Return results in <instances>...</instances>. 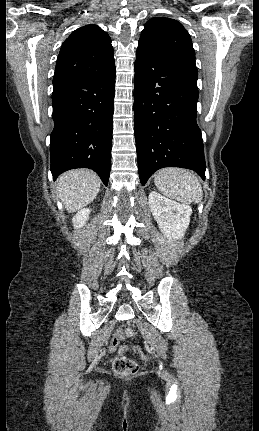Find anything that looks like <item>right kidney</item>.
<instances>
[{
    "instance_id": "right-kidney-1",
    "label": "right kidney",
    "mask_w": 259,
    "mask_h": 431,
    "mask_svg": "<svg viewBox=\"0 0 259 431\" xmlns=\"http://www.w3.org/2000/svg\"><path fill=\"white\" fill-rule=\"evenodd\" d=\"M91 210L89 208H83L79 210L72 219L73 226L75 229H79L84 226L89 218Z\"/></svg>"
}]
</instances>
